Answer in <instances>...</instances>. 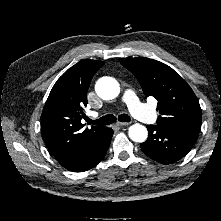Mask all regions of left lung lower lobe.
I'll return each instance as SVG.
<instances>
[{
  "mask_svg": "<svg viewBox=\"0 0 221 221\" xmlns=\"http://www.w3.org/2000/svg\"><path fill=\"white\" fill-rule=\"evenodd\" d=\"M148 139L140 144L141 150L162 164L174 163L183 158L194 146L199 131L147 125Z\"/></svg>",
  "mask_w": 221,
  "mask_h": 221,
  "instance_id": "1",
  "label": "left lung lower lobe"
}]
</instances>
